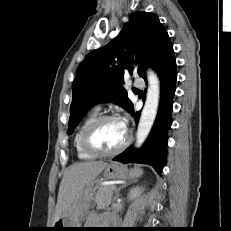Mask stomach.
I'll use <instances>...</instances> for the list:
<instances>
[{
  "mask_svg": "<svg viewBox=\"0 0 231 231\" xmlns=\"http://www.w3.org/2000/svg\"><path fill=\"white\" fill-rule=\"evenodd\" d=\"M143 174L140 168L128 169L126 166L113 162L106 166L103 172L105 179H128L137 178ZM96 188L93 185L85 187L84 190L75 198L70 210L65 217L59 218L53 225L54 231L77 230L69 228H82L83 216L93 207L95 203Z\"/></svg>",
  "mask_w": 231,
  "mask_h": 231,
  "instance_id": "1",
  "label": "stomach"
}]
</instances>
